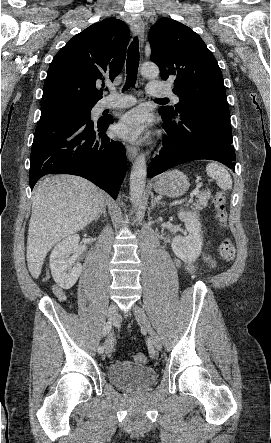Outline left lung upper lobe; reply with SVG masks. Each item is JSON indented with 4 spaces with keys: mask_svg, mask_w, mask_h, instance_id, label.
Returning a JSON list of instances; mask_svg holds the SVG:
<instances>
[{
    "mask_svg": "<svg viewBox=\"0 0 271 443\" xmlns=\"http://www.w3.org/2000/svg\"><path fill=\"white\" fill-rule=\"evenodd\" d=\"M151 60L163 80L175 77L173 92L180 102L161 107L173 115L197 109L208 99L227 104L218 63L192 29L170 18L159 19L149 31Z\"/></svg>",
    "mask_w": 271,
    "mask_h": 443,
    "instance_id": "1",
    "label": "left lung upper lobe"
}]
</instances>
